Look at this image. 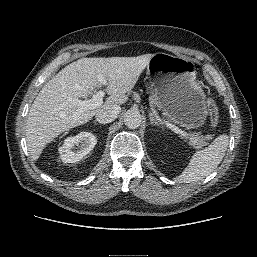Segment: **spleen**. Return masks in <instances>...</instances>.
Returning a JSON list of instances; mask_svg holds the SVG:
<instances>
[{
	"label": "spleen",
	"instance_id": "1",
	"mask_svg": "<svg viewBox=\"0 0 257 257\" xmlns=\"http://www.w3.org/2000/svg\"><path fill=\"white\" fill-rule=\"evenodd\" d=\"M229 137L220 135L205 149L192 156L188 166L175 178L177 183H190L209 175L223 160Z\"/></svg>",
	"mask_w": 257,
	"mask_h": 257
}]
</instances>
